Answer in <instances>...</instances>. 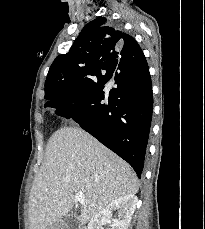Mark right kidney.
Segmentation results:
<instances>
[{"instance_id":"right-kidney-1","label":"right kidney","mask_w":205,"mask_h":229,"mask_svg":"<svg viewBox=\"0 0 205 229\" xmlns=\"http://www.w3.org/2000/svg\"><path fill=\"white\" fill-rule=\"evenodd\" d=\"M137 202V197L132 194L112 201L91 219L88 224V229H100L101 226L106 223L110 225V229H128ZM116 210L117 217L112 218V214Z\"/></svg>"}]
</instances>
